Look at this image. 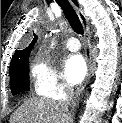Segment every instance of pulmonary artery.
Instances as JSON below:
<instances>
[{
	"label": "pulmonary artery",
	"instance_id": "e3ab8cb5",
	"mask_svg": "<svg viewBox=\"0 0 122 123\" xmlns=\"http://www.w3.org/2000/svg\"><path fill=\"white\" fill-rule=\"evenodd\" d=\"M66 47L72 52H76L80 49V43L77 38L71 37L66 42Z\"/></svg>",
	"mask_w": 122,
	"mask_h": 123
}]
</instances>
